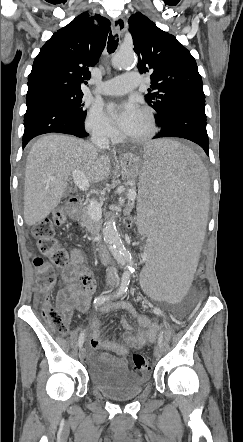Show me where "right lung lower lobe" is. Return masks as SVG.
<instances>
[{
	"label": "right lung lower lobe",
	"mask_w": 243,
	"mask_h": 442,
	"mask_svg": "<svg viewBox=\"0 0 243 442\" xmlns=\"http://www.w3.org/2000/svg\"><path fill=\"white\" fill-rule=\"evenodd\" d=\"M27 111L24 115L23 148L34 137L59 132L86 137L84 121L71 107L53 95L39 94L26 97Z\"/></svg>",
	"instance_id": "98d812e1"
}]
</instances>
